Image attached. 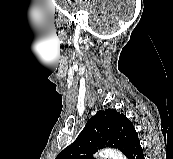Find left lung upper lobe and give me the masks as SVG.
I'll return each mask as SVG.
<instances>
[{
  "instance_id": "1",
  "label": "left lung upper lobe",
  "mask_w": 173,
  "mask_h": 159,
  "mask_svg": "<svg viewBox=\"0 0 173 159\" xmlns=\"http://www.w3.org/2000/svg\"><path fill=\"white\" fill-rule=\"evenodd\" d=\"M138 143V134L124 114L115 109L100 110L56 159H94L93 153L104 147L117 148L127 156Z\"/></svg>"
}]
</instances>
